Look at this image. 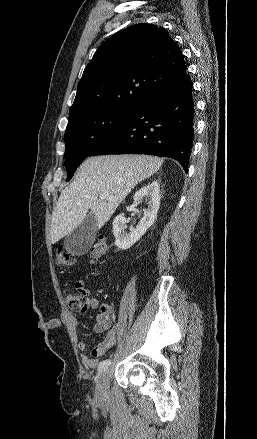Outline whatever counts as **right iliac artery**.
<instances>
[{"mask_svg": "<svg viewBox=\"0 0 257 439\" xmlns=\"http://www.w3.org/2000/svg\"><path fill=\"white\" fill-rule=\"evenodd\" d=\"M110 364H111L110 359H106V360L101 361L100 364L98 365V374H101L102 372H104Z\"/></svg>", "mask_w": 257, "mask_h": 439, "instance_id": "obj_1", "label": "right iliac artery"}]
</instances>
